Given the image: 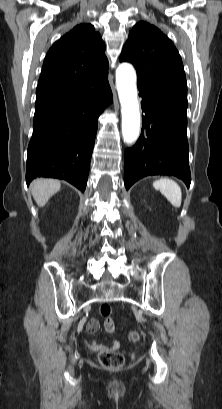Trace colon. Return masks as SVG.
Listing matches in <instances>:
<instances>
[{
  "instance_id": "5ec220e1",
  "label": "colon",
  "mask_w": 222,
  "mask_h": 409,
  "mask_svg": "<svg viewBox=\"0 0 222 409\" xmlns=\"http://www.w3.org/2000/svg\"><path fill=\"white\" fill-rule=\"evenodd\" d=\"M112 309L109 304H103L100 308V313L102 316L106 317L105 328L108 332H113L115 330V325L110 319ZM128 338L132 342H138L140 340V335L136 331H131ZM100 363L107 369L117 370L123 367L125 359L122 353L110 350H104L99 353Z\"/></svg>"
}]
</instances>
